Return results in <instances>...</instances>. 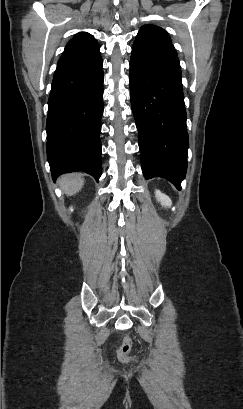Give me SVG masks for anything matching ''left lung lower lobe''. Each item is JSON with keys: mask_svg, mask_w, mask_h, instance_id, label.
<instances>
[{"mask_svg": "<svg viewBox=\"0 0 243 409\" xmlns=\"http://www.w3.org/2000/svg\"><path fill=\"white\" fill-rule=\"evenodd\" d=\"M129 81L144 177L166 178L180 190L188 133L181 68L172 42L133 46Z\"/></svg>", "mask_w": 243, "mask_h": 409, "instance_id": "obj_1", "label": "left lung lower lobe"}]
</instances>
